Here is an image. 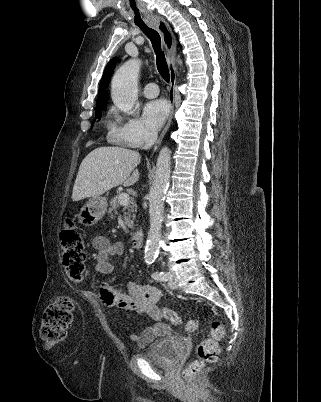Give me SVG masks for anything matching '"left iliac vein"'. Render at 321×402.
<instances>
[{
	"label": "left iliac vein",
	"mask_w": 321,
	"mask_h": 402,
	"mask_svg": "<svg viewBox=\"0 0 321 402\" xmlns=\"http://www.w3.org/2000/svg\"><path fill=\"white\" fill-rule=\"evenodd\" d=\"M170 274V280L168 282V286L172 289H176L178 287L177 285V279H176V275L173 271L168 272Z\"/></svg>",
	"instance_id": "1"
}]
</instances>
